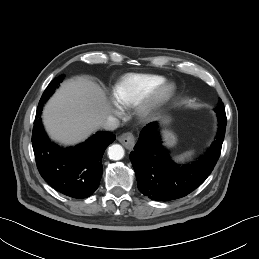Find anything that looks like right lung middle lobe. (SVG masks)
I'll use <instances>...</instances> for the list:
<instances>
[{
	"label": "right lung middle lobe",
	"mask_w": 259,
	"mask_h": 259,
	"mask_svg": "<svg viewBox=\"0 0 259 259\" xmlns=\"http://www.w3.org/2000/svg\"><path fill=\"white\" fill-rule=\"evenodd\" d=\"M63 77H58L55 78L54 80L51 81V83L48 85L46 90L44 91L38 107H37V113L42 111V107L45 104V102L49 99V97L54 93L55 89L58 87L59 83L62 81Z\"/></svg>",
	"instance_id": "obj_1"
}]
</instances>
